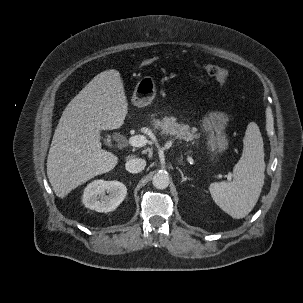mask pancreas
<instances>
[{
	"mask_svg": "<svg viewBox=\"0 0 303 303\" xmlns=\"http://www.w3.org/2000/svg\"><path fill=\"white\" fill-rule=\"evenodd\" d=\"M153 125L157 129H161V133L164 135L174 136L176 139H182L190 141L194 144V139L198 138V135L189 125L184 123H177L175 117H164L163 119H154Z\"/></svg>",
	"mask_w": 303,
	"mask_h": 303,
	"instance_id": "obj_1",
	"label": "pancreas"
}]
</instances>
